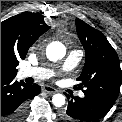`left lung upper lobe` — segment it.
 <instances>
[{"label":"left lung upper lobe","instance_id":"left-lung-upper-lobe-1","mask_svg":"<svg viewBox=\"0 0 122 122\" xmlns=\"http://www.w3.org/2000/svg\"><path fill=\"white\" fill-rule=\"evenodd\" d=\"M78 37L86 52V62L78 88L85 87L84 94H95L116 101L122 71L116 51L106 37L97 29L80 19H76Z\"/></svg>","mask_w":122,"mask_h":122}]
</instances>
